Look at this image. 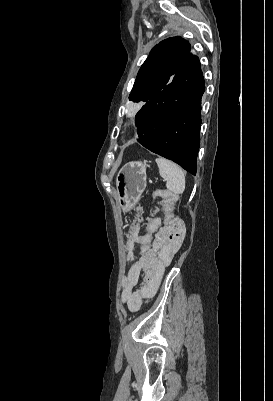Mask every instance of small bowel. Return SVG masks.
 <instances>
[{
  "instance_id": "obj_1",
  "label": "small bowel",
  "mask_w": 273,
  "mask_h": 401,
  "mask_svg": "<svg viewBox=\"0 0 273 401\" xmlns=\"http://www.w3.org/2000/svg\"><path fill=\"white\" fill-rule=\"evenodd\" d=\"M133 225L127 233L126 249L128 257L137 251L138 258L131 264L121 283V302L132 312L138 311L144 301L153 298L160 285L164 270L172 262L182 241H155L153 233L160 227L159 217L152 215L148 218L149 228L143 233L145 224L139 216L130 218ZM143 275H150V284H143Z\"/></svg>"
}]
</instances>
